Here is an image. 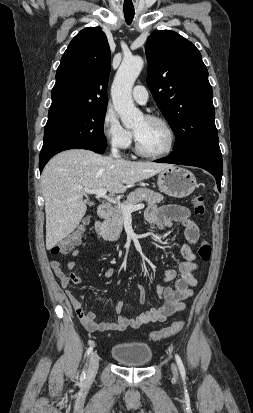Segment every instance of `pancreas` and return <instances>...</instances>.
<instances>
[{"instance_id":"1","label":"pancreas","mask_w":253,"mask_h":413,"mask_svg":"<svg viewBox=\"0 0 253 413\" xmlns=\"http://www.w3.org/2000/svg\"><path fill=\"white\" fill-rule=\"evenodd\" d=\"M164 197L148 188H138L131 192L124 205H135L138 202L145 201L148 205H156L162 202ZM124 213L120 207H116L111 218L105 220L102 224L101 233L108 241H117L123 229Z\"/></svg>"}]
</instances>
